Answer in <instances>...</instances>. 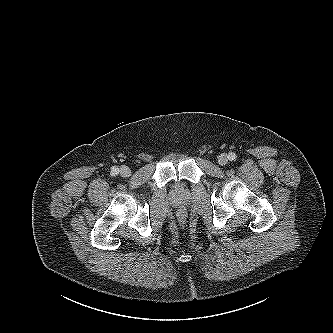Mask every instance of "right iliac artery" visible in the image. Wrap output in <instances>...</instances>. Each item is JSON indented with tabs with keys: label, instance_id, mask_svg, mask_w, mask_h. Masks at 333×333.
Instances as JSON below:
<instances>
[{
	"label": "right iliac artery",
	"instance_id": "obj_1",
	"mask_svg": "<svg viewBox=\"0 0 333 333\" xmlns=\"http://www.w3.org/2000/svg\"><path fill=\"white\" fill-rule=\"evenodd\" d=\"M112 175H117L119 173V168L118 167H113L111 170Z\"/></svg>",
	"mask_w": 333,
	"mask_h": 333
}]
</instances>
